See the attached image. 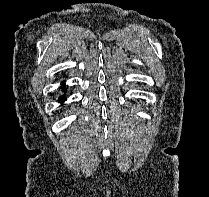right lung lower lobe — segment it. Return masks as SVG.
Here are the masks:
<instances>
[{"label": "right lung lower lobe", "instance_id": "98d812e1", "mask_svg": "<svg viewBox=\"0 0 209 197\" xmlns=\"http://www.w3.org/2000/svg\"><path fill=\"white\" fill-rule=\"evenodd\" d=\"M61 89H62L64 92L66 91V89H65V83H64V82L62 83ZM65 100H66L65 95H63V96H61V97L59 98V101H60V102H64Z\"/></svg>", "mask_w": 209, "mask_h": 197}]
</instances>
